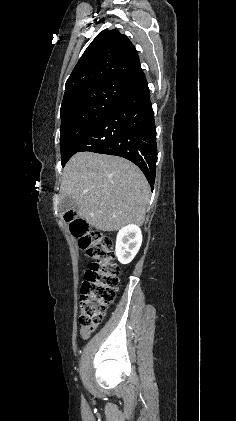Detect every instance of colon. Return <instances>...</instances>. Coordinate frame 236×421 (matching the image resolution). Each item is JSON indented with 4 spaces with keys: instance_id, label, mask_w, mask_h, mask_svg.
<instances>
[{
    "instance_id": "1",
    "label": "colon",
    "mask_w": 236,
    "mask_h": 421,
    "mask_svg": "<svg viewBox=\"0 0 236 421\" xmlns=\"http://www.w3.org/2000/svg\"><path fill=\"white\" fill-rule=\"evenodd\" d=\"M70 230L89 260L81 285L79 324L93 330L104 318L115 299L119 284V267L114 262L112 240L92 229L76 212L65 215Z\"/></svg>"
}]
</instances>
